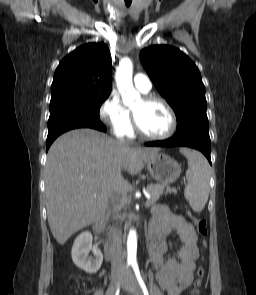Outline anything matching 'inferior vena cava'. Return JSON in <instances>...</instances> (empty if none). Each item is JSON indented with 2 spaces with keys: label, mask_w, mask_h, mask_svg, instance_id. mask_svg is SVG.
<instances>
[{
  "label": "inferior vena cava",
  "mask_w": 256,
  "mask_h": 295,
  "mask_svg": "<svg viewBox=\"0 0 256 295\" xmlns=\"http://www.w3.org/2000/svg\"><path fill=\"white\" fill-rule=\"evenodd\" d=\"M119 210V209H118ZM123 241H122V231L117 226L113 230L112 235V272H122L123 270Z\"/></svg>",
  "instance_id": "602c4592"
}]
</instances>
